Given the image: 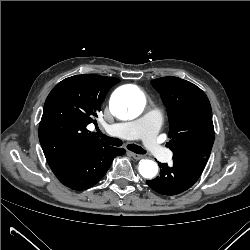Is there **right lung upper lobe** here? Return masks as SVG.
<instances>
[{"instance_id":"1","label":"right lung upper lobe","mask_w":250,"mask_h":250,"mask_svg":"<svg viewBox=\"0 0 250 250\" xmlns=\"http://www.w3.org/2000/svg\"><path fill=\"white\" fill-rule=\"evenodd\" d=\"M118 82L113 77L84 74L66 78L53 88L39 125V140L50 167L107 146L86 126L96 123L107 92Z\"/></svg>"}]
</instances>
